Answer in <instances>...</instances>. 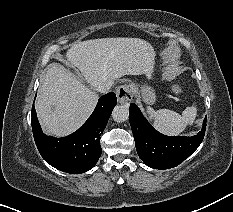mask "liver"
Segmentation results:
<instances>
[{
  "label": "liver",
  "mask_w": 233,
  "mask_h": 212,
  "mask_svg": "<svg viewBox=\"0 0 233 212\" xmlns=\"http://www.w3.org/2000/svg\"><path fill=\"white\" fill-rule=\"evenodd\" d=\"M154 55L152 45L139 38H101L74 43L67 50L66 59L81 71L91 88L63 65L52 63L35 105L44 132L62 137L77 130L97 104L94 90L98 84H113L124 75L149 74Z\"/></svg>",
  "instance_id": "6515ba94"
}]
</instances>
